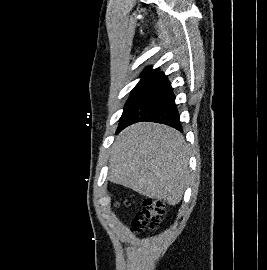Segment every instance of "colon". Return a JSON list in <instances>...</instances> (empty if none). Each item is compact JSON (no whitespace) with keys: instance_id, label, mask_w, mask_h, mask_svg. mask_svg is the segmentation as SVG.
<instances>
[{"instance_id":"obj_1","label":"colon","mask_w":267,"mask_h":270,"mask_svg":"<svg viewBox=\"0 0 267 270\" xmlns=\"http://www.w3.org/2000/svg\"><path fill=\"white\" fill-rule=\"evenodd\" d=\"M165 205L161 201L146 199L144 208L137 213L131 223L132 231L141 233L145 230L156 229L163 219Z\"/></svg>"}]
</instances>
